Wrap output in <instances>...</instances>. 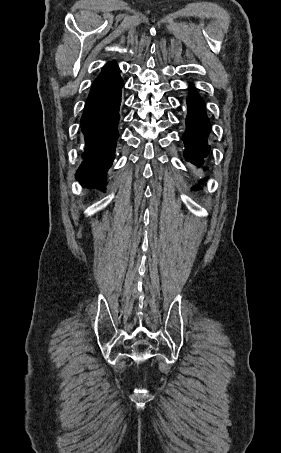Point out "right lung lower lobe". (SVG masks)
<instances>
[{"instance_id":"1","label":"right lung lower lobe","mask_w":281,"mask_h":453,"mask_svg":"<svg viewBox=\"0 0 281 453\" xmlns=\"http://www.w3.org/2000/svg\"><path fill=\"white\" fill-rule=\"evenodd\" d=\"M123 80L116 63L104 66L94 81L81 118L85 150L76 179L85 186L105 189L104 179L115 158L117 124Z\"/></svg>"}]
</instances>
